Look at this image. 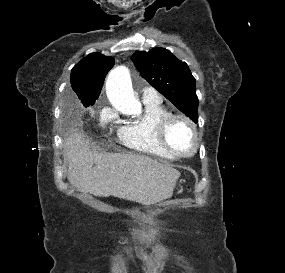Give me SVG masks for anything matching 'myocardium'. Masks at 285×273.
Masks as SVG:
<instances>
[{
    "label": "myocardium",
    "instance_id": "f54148a6",
    "mask_svg": "<svg viewBox=\"0 0 285 273\" xmlns=\"http://www.w3.org/2000/svg\"><path fill=\"white\" fill-rule=\"evenodd\" d=\"M178 120L183 121L189 128L192 136H193V146L192 149L188 152H183L180 150H177L176 148H174L169 139H168V133H169V129L172 126V124ZM158 135H159V139L162 143V145L171 153H173L175 156H179V157H191L193 156L199 149V145H200V137H199V133L197 130V127L195 125V123L186 115L184 114H179V113H170L169 115H167L164 119H162V121L159 124L158 127Z\"/></svg>",
    "mask_w": 285,
    "mask_h": 273
}]
</instances>
